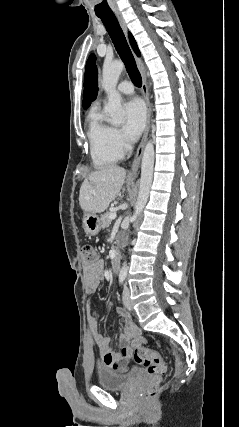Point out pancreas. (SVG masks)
<instances>
[{"mask_svg":"<svg viewBox=\"0 0 239 427\" xmlns=\"http://www.w3.org/2000/svg\"><path fill=\"white\" fill-rule=\"evenodd\" d=\"M110 212H106L103 216H102V226L103 227H108L111 224V219L109 218L110 216Z\"/></svg>","mask_w":239,"mask_h":427,"instance_id":"1","label":"pancreas"}]
</instances>
